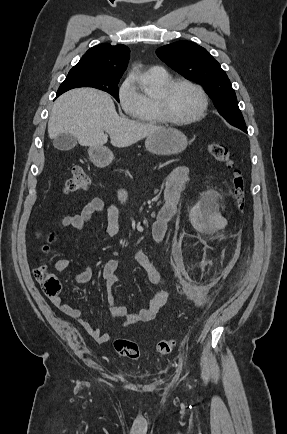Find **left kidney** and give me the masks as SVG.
<instances>
[{"label": "left kidney", "mask_w": 287, "mask_h": 434, "mask_svg": "<svg viewBox=\"0 0 287 434\" xmlns=\"http://www.w3.org/2000/svg\"><path fill=\"white\" fill-rule=\"evenodd\" d=\"M198 211H199V207L196 206L189 213V218L193 225H196Z\"/></svg>", "instance_id": "left-kidney-1"}]
</instances>
